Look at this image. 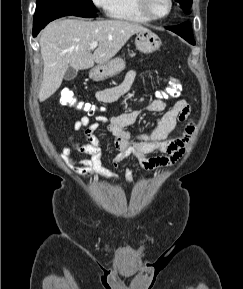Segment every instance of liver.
Instances as JSON below:
<instances>
[{
	"label": "liver",
	"mask_w": 243,
	"mask_h": 289,
	"mask_svg": "<svg viewBox=\"0 0 243 289\" xmlns=\"http://www.w3.org/2000/svg\"><path fill=\"white\" fill-rule=\"evenodd\" d=\"M145 30L142 25L123 20L59 19L48 24L39 40L44 64L39 101L58 90L69 66L84 70L95 63H106L132 35ZM94 41L99 45L92 53L90 43Z\"/></svg>",
	"instance_id": "obj_1"
}]
</instances>
